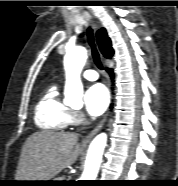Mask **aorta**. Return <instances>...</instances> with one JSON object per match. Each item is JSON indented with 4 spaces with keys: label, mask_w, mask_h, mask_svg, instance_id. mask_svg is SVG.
I'll return each instance as SVG.
<instances>
[{
    "label": "aorta",
    "mask_w": 178,
    "mask_h": 186,
    "mask_svg": "<svg viewBox=\"0 0 178 186\" xmlns=\"http://www.w3.org/2000/svg\"><path fill=\"white\" fill-rule=\"evenodd\" d=\"M87 59V51L83 47L69 49L64 57L66 73L65 101L69 104H82L83 85L80 79L81 71ZM107 143L105 133L98 134L91 142L81 180H95L102 161L104 148Z\"/></svg>",
    "instance_id": "1"
}]
</instances>
